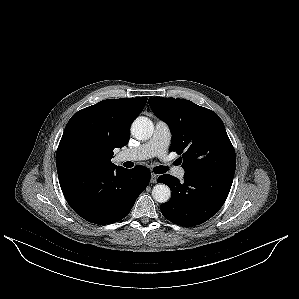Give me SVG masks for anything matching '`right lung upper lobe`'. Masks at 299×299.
Wrapping results in <instances>:
<instances>
[{
    "label": "right lung upper lobe",
    "instance_id": "right-lung-upper-lobe-1",
    "mask_svg": "<svg viewBox=\"0 0 299 299\" xmlns=\"http://www.w3.org/2000/svg\"><path fill=\"white\" fill-rule=\"evenodd\" d=\"M146 102V97L108 99L75 113L57 149V171L115 166L113 150L128 143L131 123Z\"/></svg>",
    "mask_w": 299,
    "mask_h": 299
}]
</instances>
